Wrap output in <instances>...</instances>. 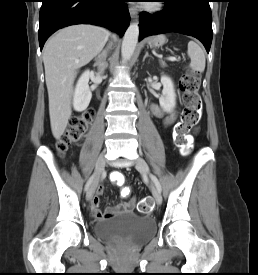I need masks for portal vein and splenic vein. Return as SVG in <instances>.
Listing matches in <instances>:
<instances>
[{"mask_svg": "<svg viewBox=\"0 0 258 275\" xmlns=\"http://www.w3.org/2000/svg\"><path fill=\"white\" fill-rule=\"evenodd\" d=\"M168 60H170V61H176L177 59L174 56H170V57H168Z\"/></svg>", "mask_w": 258, "mask_h": 275, "instance_id": "portal-vein-and-splenic-vein-1", "label": "portal vein and splenic vein"}]
</instances>
